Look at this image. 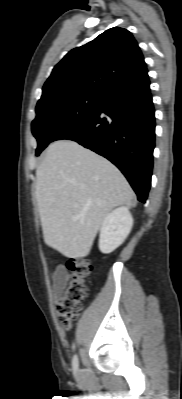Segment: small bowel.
Returning <instances> with one entry per match:
<instances>
[{
  "label": "small bowel",
  "instance_id": "small-bowel-1",
  "mask_svg": "<svg viewBox=\"0 0 182 399\" xmlns=\"http://www.w3.org/2000/svg\"><path fill=\"white\" fill-rule=\"evenodd\" d=\"M70 275L64 266H58L51 274L54 296L59 298L65 289Z\"/></svg>",
  "mask_w": 182,
  "mask_h": 399
}]
</instances>
